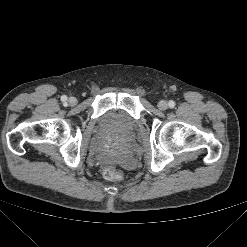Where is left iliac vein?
<instances>
[{
  "label": "left iliac vein",
  "instance_id": "obj_1",
  "mask_svg": "<svg viewBox=\"0 0 247 247\" xmlns=\"http://www.w3.org/2000/svg\"><path fill=\"white\" fill-rule=\"evenodd\" d=\"M158 108L164 111L168 108V103L165 100H161L158 102Z\"/></svg>",
  "mask_w": 247,
  "mask_h": 247
}]
</instances>
